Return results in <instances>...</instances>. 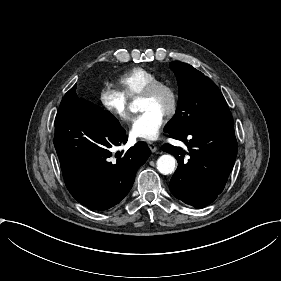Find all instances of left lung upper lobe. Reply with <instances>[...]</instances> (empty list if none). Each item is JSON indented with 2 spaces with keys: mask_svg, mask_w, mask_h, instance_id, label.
<instances>
[{
  "mask_svg": "<svg viewBox=\"0 0 281 281\" xmlns=\"http://www.w3.org/2000/svg\"><path fill=\"white\" fill-rule=\"evenodd\" d=\"M179 85L176 114L165 126L169 134L181 133L208 124L233 121L228 105L218 87L189 64L170 63Z\"/></svg>",
  "mask_w": 281,
  "mask_h": 281,
  "instance_id": "left-lung-upper-lobe-1",
  "label": "left lung upper lobe"
}]
</instances>
